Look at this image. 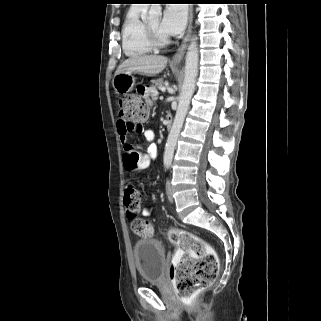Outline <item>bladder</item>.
I'll return each mask as SVG.
<instances>
[{"instance_id":"obj_1","label":"bladder","mask_w":321,"mask_h":321,"mask_svg":"<svg viewBox=\"0 0 321 321\" xmlns=\"http://www.w3.org/2000/svg\"><path fill=\"white\" fill-rule=\"evenodd\" d=\"M136 268L141 280L147 284L162 281L165 272V249L157 239L145 238L133 245Z\"/></svg>"}]
</instances>
